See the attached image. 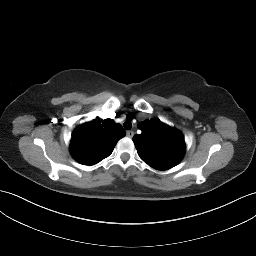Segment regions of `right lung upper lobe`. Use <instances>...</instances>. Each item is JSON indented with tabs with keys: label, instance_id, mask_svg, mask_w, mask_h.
I'll list each match as a JSON object with an SVG mask.
<instances>
[{
	"label": "right lung upper lobe",
	"instance_id": "cb5924a9",
	"mask_svg": "<svg viewBox=\"0 0 256 256\" xmlns=\"http://www.w3.org/2000/svg\"><path fill=\"white\" fill-rule=\"evenodd\" d=\"M125 130L112 119H94L77 127L70 142V152L83 165H94L108 157Z\"/></svg>",
	"mask_w": 256,
	"mask_h": 256
}]
</instances>
